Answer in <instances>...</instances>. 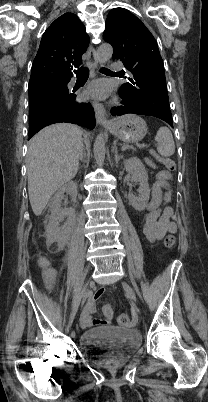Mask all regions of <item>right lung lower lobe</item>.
Segmentation results:
<instances>
[{
	"instance_id": "obj_1",
	"label": "right lung lower lobe",
	"mask_w": 208,
	"mask_h": 402,
	"mask_svg": "<svg viewBox=\"0 0 208 402\" xmlns=\"http://www.w3.org/2000/svg\"><path fill=\"white\" fill-rule=\"evenodd\" d=\"M45 83L46 81L29 83V89L33 90ZM59 122L73 123L88 129H93L96 125L94 109L91 107L90 103H79L75 101L69 107L45 112L29 125V139L45 126Z\"/></svg>"
}]
</instances>
